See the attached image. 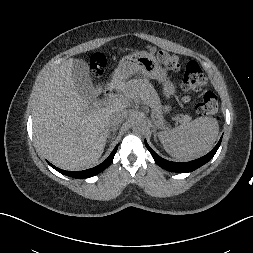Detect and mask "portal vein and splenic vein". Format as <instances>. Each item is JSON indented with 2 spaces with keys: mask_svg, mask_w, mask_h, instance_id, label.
<instances>
[{
  "mask_svg": "<svg viewBox=\"0 0 253 253\" xmlns=\"http://www.w3.org/2000/svg\"><path fill=\"white\" fill-rule=\"evenodd\" d=\"M95 105L96 106H101L102 105V102H98V103H95ZM185 118L186 119H190V117L188 116V115H185ZM175 120L177 121V122H181L183 119L181 118H175Z\"/></svg>",
  "mask_w": 253,
  "mask_h": 253,
  "instance_id": "obj_1",
  "label": "portal vein and splenic vein"
}]
</instances>
